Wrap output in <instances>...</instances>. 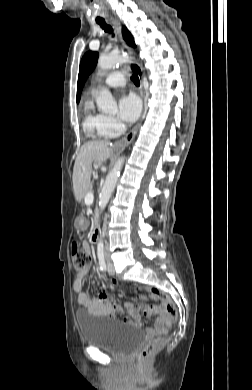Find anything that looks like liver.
<instances>
[{
	"mask_svg": "<svg viewBox=\"0 0 252 390\" xmlns=\"http://www.w3.org/2000/svg\"><path fill=\"white\" fill-rule=\"evenodd\" d=\"M113 154L109 143L91 141L81 146L73 168V189L75 197L82 199L89 188L93 162H104Z\"/></svg>",
	"mask_w": 252,
	"mask_h": 390,
	"instance_id": "1",
	"label": "liver"
}]
</instances>
